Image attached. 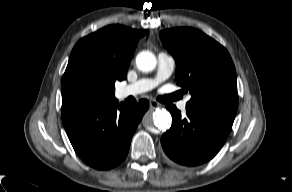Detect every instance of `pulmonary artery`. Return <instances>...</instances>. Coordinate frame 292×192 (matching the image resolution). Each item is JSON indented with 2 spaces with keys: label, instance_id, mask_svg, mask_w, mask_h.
Wrapping results in <instances>:
<instances>
[{
  "label": "pulmonary artery",
  "instance_id": "e3ab8cb5",
  "mask_svg": "<svg viewBox=\"0 0 292 192\" xmlns=\"http://www.w3.org/2000/svg\"><path fill=\"white\" fill-rule=\"evenodd\" d=\"M158 66L155 77L142 78L117 90L119 98H126L128 96H135L154 89L163 81L167 80L175 69V59L165 53L160 52L157 57ZM179 109L184 112L186 110V101L179 103Z\"/></svg>",
  "mask_w": 292,
  "mask_h": 192
}]
</instances>
